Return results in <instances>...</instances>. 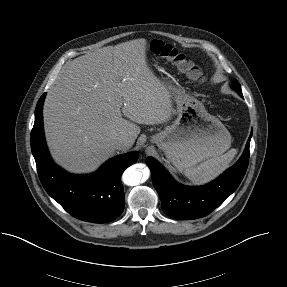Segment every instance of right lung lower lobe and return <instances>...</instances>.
Returning <instances> with one entry per match:
<instances>
[{"mask_svg":"<svg viewBox=\"0 0 287 287\" xmlns=\"http://www.w3.org/2000/svg\"><path fill=\"white\" fill-rule=\"evenodd\" d=\"M45 95L37 103L31 131V150L43 187L75 218L93 223L115 220L125 206L121 175L137 161L138 153L116 156L89 175H74L64 171L54 164L46 146L42 120Z\"/></svg>","mask_w":287,"mask_h":287,"instance_id":"obj_1","label":"right lung lower lobe"}]
</instances>
